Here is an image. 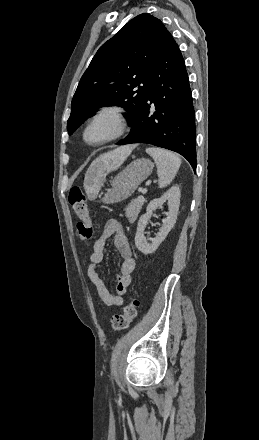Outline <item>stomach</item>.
I'll return each instance as SVG.
<instances>
[{
    "label": "stomach",
    "instance_id": "stomach-1",
    "mask_svg": "<svg viewBox=\"0 0 259 440\" xmlns=\"http://www.w3.org/2000/svg\"><path fill=\"white\" fill-rule=\"evenodd\" d=\"M153 166V163L145 158L136 159L131 162L113 179L111 188L103 197V202L112 204L130 197L137 187L151 174ZM86 184L92 186V180L89 178Z\"/></svg>",
    "mask_w": 259,
    "mask_h": 440
}]
</instances>
